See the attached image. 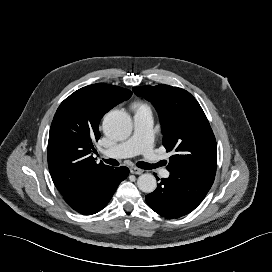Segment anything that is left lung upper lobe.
Returning <instances> with one entry per match:
<instances>
[{"label":"left lung upper lobe","mask_w":272,"mask_h":272,"mask_svg":"<svg viewBox=\"0 0 272 272\" xmlns=\"http://www.w3.org/2000/svg\"><path fill=\"white\" fill-rule=\"evenodd\" d=\"M133 91L156 108L163 145L173 151L167 170L216 174L217 145L205 113L186 90L164 84L134 87Z\"/></svg>","instance_id":"5c2ea615"}]
</instances>
